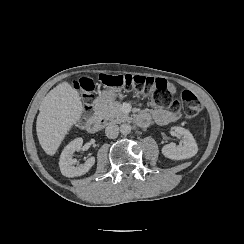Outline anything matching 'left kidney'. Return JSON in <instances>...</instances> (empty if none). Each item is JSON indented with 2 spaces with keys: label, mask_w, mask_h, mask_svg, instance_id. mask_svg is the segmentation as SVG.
I'll list each match as a JSON object with an SVG mask.
<instances>
[{
  "label": "left kidney",
  "mask_w": 244,
  "mask_h": 244,
  "mask_svg": "<svg viewBox=\"0 0 244 244\" xmlns=\"http://www.w3.org/2000/svg\"><path fill=\"white\" fill-rule=\"evenodd\" d=\"M172 130L182 136L183 145L169 143L162 148V153L165 157L173 160L188 159L195 156L198 152L197 143L188 129L183 127H172Z\"/></svg>",
  "instance_id": "left-kidney-1"
}]
</instances>
